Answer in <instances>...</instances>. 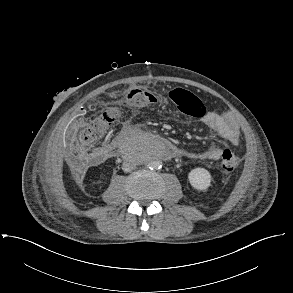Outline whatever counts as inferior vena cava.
Returning a JSON list of instances; mask_svg holds the SVG:
<instances>
[{
    "instance_id": "1",
    "label": "inferior vena cava",
    "mask_w": 293,
    "mask_h": 293,
    "mask_svg": "<svg viewBox=\"0 0 293 293\" xmlns=\"http://www.w3.org/2000/svg\"><path fill=\"white\" fill-rule=\"evenodd\" d=\"M136 167V165L132 162H129V161H125L122 165V170L124 172H130L132 170H134Z\"/></svg>"
}]
</instances>
